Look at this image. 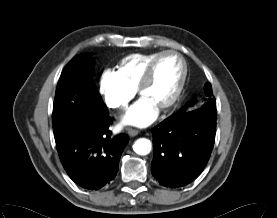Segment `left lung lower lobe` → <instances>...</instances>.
Segmentation results:
<instances>
[{
  "label": "left lung lower lobe",
  "mask_w": 277,
  "mask_h": 218,
  "mask_svg": "<svg viewBox=\"0 0 277 218\" xmlns=\"http://www.w3.org/2000/svg\"><path fill=\"white\" fill-rule=\"evenodd\" d=\"M216 108H198L171 115L152 129L153 176L165 187L195 180L211 155L216 133Z\"/></svg>",
  "instance_id": "obj_1"
}]
</instances>
